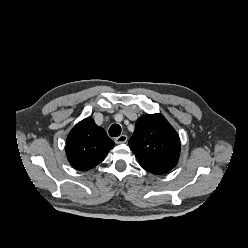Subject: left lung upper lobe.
<instances>
[{"instance_id":"obj_1","label":"left lung upper lobe","mask_w":248,"mask_h":248,"mask_svg":"<svg viewBox=\"0 0 248 248\" xmlns=\"http://www.w3.org/2000/svg\"><path fill=\"white\" fill-rule=\"evenodd\" d=\"M129 147L145 170L159 175L172 170L180 155L179 135L161 114L137 120Z\"/></svg>"}]
</instances>
